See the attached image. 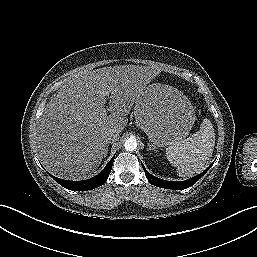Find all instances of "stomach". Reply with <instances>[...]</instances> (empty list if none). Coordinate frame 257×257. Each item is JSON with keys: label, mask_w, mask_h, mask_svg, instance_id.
<instances>
[{"label": "stomach", "mask_w": 257, "mask_h": 257, "mask_svg": "<svg viewBox=\"0 0 257 257\" xmlns=\"http://www.w3.org/2000/svg\"><path fill=\"white\" fill-rule=\"evenodd\" d=\"M137 125L157 147L172 146L186 138L195 122L189 99L168 85L151 84L135 103Z\"/></svg>", "instance_id": "obj_1"}]
</instances>
